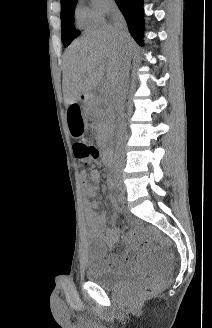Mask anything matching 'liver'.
I'll return each mask as SVG.
<instances>
[{"label": "liver", "instance_id": "liver-1", "mask_svg": "<svg viewBox=\"0 0 212 328\" xmlns=\"http://www.w3.org/2000/svg\"><path fill=\"white\" fill-rule=\"evenodd\" d=\"M132 46L129 34L120 37L111 25L75 40L64 53V102L72 104L101 84L111 93Z\"/></svg>", "mask_w": 212, "mask_h": 328}]
</instances>
